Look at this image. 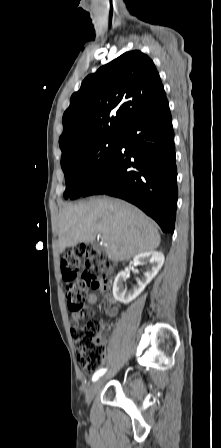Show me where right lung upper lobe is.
I'll return each mask as SVG.
<instances>
[{
    "label": "right lung upper lobe",
    "mask_w": 221,
    "mask_h": 448,
    "mask_svg": "<svg viewBox=\"0 0 221 448\" xmlns=\"http://www.w3.org/2000/svg\"><path fill=\"white\" fill-rule=\"evenodd\" d=\"M165 97L147 55L138 50L120 55L88 75L71 96L59 139L61 159L92 140L119 135L131 119Z\"/></svg>",
    "instance_id": "1"
}]
</instances>
